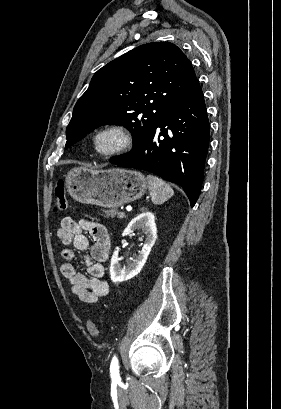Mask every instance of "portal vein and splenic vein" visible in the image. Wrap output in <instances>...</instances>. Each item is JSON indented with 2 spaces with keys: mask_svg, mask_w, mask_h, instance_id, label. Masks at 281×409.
Here are the masks:
<instances>
[{
  "mask_svg": "<svg viewBox=\"0 0 281 409\" xmlns=\"http://www.w3.org/2000/svg\"><path fill=\"white\" fill-rule=\"evenodd\" d=\"M119 219H120V220H126V219H127L126 213L120 212V213H119Z\"/></svg>",
  "mask_w": 281,
  "mask_h": 409,
  "instance_id": "1",
  "label": "portal vein and splenic vein"
}]
</instances>
